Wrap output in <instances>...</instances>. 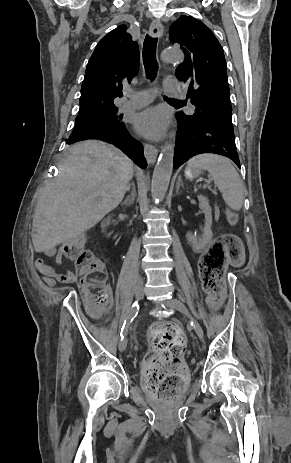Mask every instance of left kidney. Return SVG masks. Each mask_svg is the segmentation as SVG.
<instances>
[{"mask_svg":"<svg viewBox=\"0 0 291 463\" xmlns=\"http://www.w3.org/2000/svg\"><path fill=\"white\" fill-rule=\"evenodd\" d=\"M199 207L205 215V223L203 228V234L201 237H196L192 233L188 232L186 238L188 243L192 246V249L195 253H200L205 249L206 245L212 240V213L211 206L209 205V200L207 197L199 195Z\"/></svg>","mask_w":291,"mask_h":463,"instance_id":"obj_1","label":"left kidney"}]
</instances>
